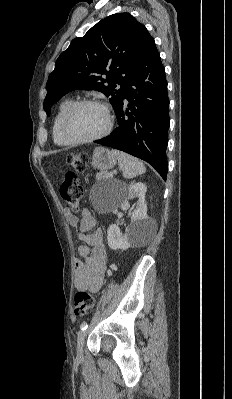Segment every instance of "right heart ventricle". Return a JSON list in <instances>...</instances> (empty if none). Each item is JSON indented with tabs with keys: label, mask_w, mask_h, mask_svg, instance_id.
Returning <instances> with one entry per match:
<instances>
[{
	"label": "right heart ventricle",
	"mask_w": 232,
	"mask_h": 399,
	"mask_svg": "<svg viewBox=\"0 0 232 399\" xmlns=\"http://www.w3.org/2000/svg\"><path fill=\"white\" fill-rule=\"evenodd\" d=\"M74 103V100H67L58 105L53 122H52V138L54 143L62 148H72L75 146L70 140L66 138L62 131V119L66 110Z\"/></svg>",
	"instance_id": "1"
}]
</instances>
